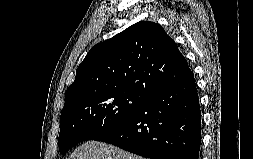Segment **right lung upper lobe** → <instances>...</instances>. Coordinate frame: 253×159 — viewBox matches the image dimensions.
I'll use <instances>...</instances> for the list:
<instances>
[{"mask_svg":"<svg viewBox=\"0 0 253 159\" xmlns=\"http://www.w3.org/2000/svg\"><path fill=\"white\" fill-rule=\"evenodd\" d=\"M190 74L186 59L164 29L141 21L90 49L66 91L65 104L99 92L147 96Z\"/></svg>","mask_w":253,"mask_h":159,"instance_id":"right-lung-upper-lobe-1","label":"right lung upper lobe"}]
</instances>
